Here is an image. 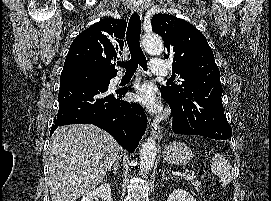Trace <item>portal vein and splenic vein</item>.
<instances>
[{
    "mask_svg": "<svg viewBox=\"0 0 271 201\" xmlns=\"http://www.w3.org/2000/svg\"><path fill=\"white\" fill-rule=\"evenodd\" d=\"M185 179L186 180L196 179V175H194V174H188V175L185 176Z\"/></svg>",
    "mask_w": 271,
    "mask_h": 201,
    "instance_id": "1",
    "label": "portal vein and splenic vein"
}]
</instances>
